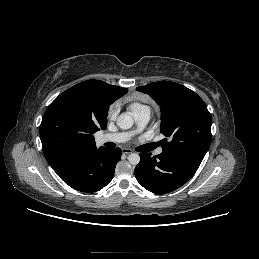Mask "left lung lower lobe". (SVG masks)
<instances>
[{"label":"left lung lower lobe","instance_id":"left-lung-lower-lobe-1","mask_svg":"<svg viewBox=\"0 0 259 259\" xmlns=\"http://www.w3.org/2000/svg\"><path fill=\"white\" fill-rule=\"evenodd\" d=\"M140 153L134 173L137 181L153 193H169L184 185L197 171L203 158L187 153L165 152L151 157Z\"/></svg>","mask_w":259,"mask_h":259}]
</instances>
